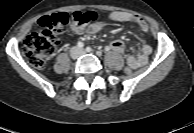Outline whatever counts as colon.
<instances>
[{
	"mask_svg": "<svg viewBox=\"0 0 194 133\" xmlns=\"http://www.w3.org/2000/svg\"><path fill=\"white\" fill-rule=\"evenodd\" d=\"M97 19L98 15L94 11L63 12L42 17L39 20L42 29L28 35L23 42L22 51L27 62L34 68L44 67L58 44V34L64 26L70 25L75 31H82ZM123 73L127 77H132L134 69L125 66Z\"/></svg>",
	"mask_w": 194,
	"mask_h": 133,
	"instance_id": "colon-1",
	"label": "colon"
}]
</instances>
